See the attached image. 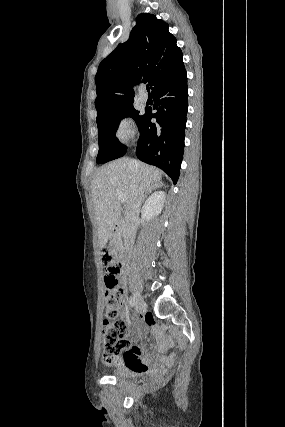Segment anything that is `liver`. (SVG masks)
<instances>
[{
  "label": "liver",
  "mask_w": 285,
  "mask_h": 427,
  "mask_svg": "<svg viewBox=\"0 0 285 427\" xmlns=\"http://www.w3.org/2000/svg\"><path fill=\"white\" fill-rule=\"evenodd\" d=\"M162 174L153 166L129 158L113 161L97 171L92 183V201L101 249L121 215L117 193L121 192L128 204L137 186V175L141 176L144 188L148 190L162 184Z\"/></svg>",
  "instance_id": "obj_1"
}]
</instances>
